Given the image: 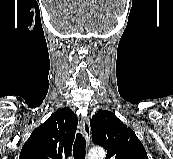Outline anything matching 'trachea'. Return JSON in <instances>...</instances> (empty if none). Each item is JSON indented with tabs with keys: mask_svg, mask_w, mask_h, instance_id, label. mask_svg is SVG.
Segmentation results:
<instances>
[{
	"mask_svg": "<svg viewBox=\"0 0 173 159\" xmlns=\"http://www.w3.org/2000/svg\"><path fill=\"white\" fill-rule=\"evenodd\" d=\"M86 155V140L85 137L78 133L73 145L74 159H85Z\"/></svg>",
	"mask_w": 173,
	"mask_h": 159,
	"instance_id": "obj_1",
	"label": "trachea"
}]
</instances>
